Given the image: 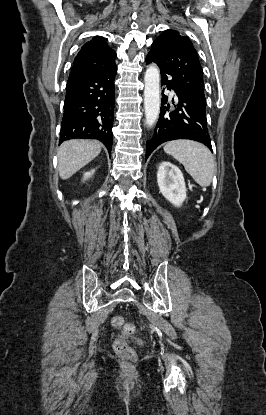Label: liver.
Segmentation results:
<instances>
[{
    "label": "liver",
    "instance_id": "1",
    "mask_svg": "<svg viewBox=\"0 0 266 415\" xmlns=\"http://www.w3.org/2000/svg\"><path fill=\"white\" fill-rule=\"evenodd\" d=\"M101 143L95 140L72 139L61 144L58 150V170L63 180L91 162L101 152Z\"/></svg>",
    "mask_w": 266,
    "mask_h": 415
}]
</instances>
